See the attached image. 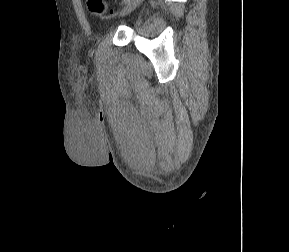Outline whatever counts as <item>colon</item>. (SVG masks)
<instances>
[{
	"instance_id": "obj_1",
	"label": "colon",
	"mask_w": 289,
	"mask_h": 252,
	"mask_svg": "<svg viewBox=\"0 0 289 252\" xmlns=\"http://www.w3.org/2000/svg\"><path fill=\"white\" fill-rule=\"evenodd\" d=\"M91 15L101 17L108 12L105 0H84Z\"/></svg>"
}]
</instances>
